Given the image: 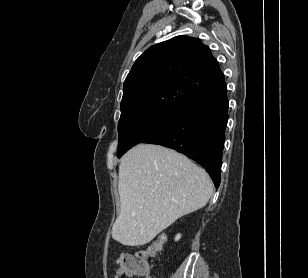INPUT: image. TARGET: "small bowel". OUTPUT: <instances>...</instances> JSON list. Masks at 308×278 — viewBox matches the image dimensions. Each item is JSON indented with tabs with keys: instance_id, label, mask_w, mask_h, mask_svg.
<instances>
[{
	"instance_id": "small-bowel-1",
	"label": "small bowel",
	"mask_w": 308,
	"mask_h": 278,
	"mask_svg": "<svg viewBox=\"0 0 308 278\" xmlns=\"http://www.w3.org/2000/svg\"><path fill=\"white\" fill-rule=\"evenodd\" d=\"M149 272H150V269H149ZM120 277H122V274L120 272H117V275L115 278H120ZM147 278H153V277L149 274Z\"/></svg>"
}]
</instances>
